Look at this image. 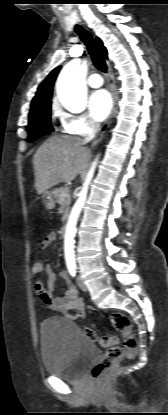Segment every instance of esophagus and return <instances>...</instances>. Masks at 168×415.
I'll return each instance as SVG.
<instances>
[{
  "mask_svg": "<svg viewBox=\"0 0 168 415\" xmlns=\"http://www.w3.org/2000/svg\"><path fill=\"white\" fill-rule=\"evenodd\" d=\"M109 80H110V89H111V94H112V99H113V106H112V111L109 115V117L107 118V120L104 122V124L101 127L100 132L98 133V135L96 136V138L93 140L91 147L96 146L101 139L103 138L107 128L109 127L112 118L116 112V101H117V96H116V86H115V79H114V74H113V69L111 68V66H109Z\"/></svg>",
  "mask_w": 168,
  "mask_h": 415,
  "instance_id": "1",
  "label": "esophagus"
}]
</instances>
